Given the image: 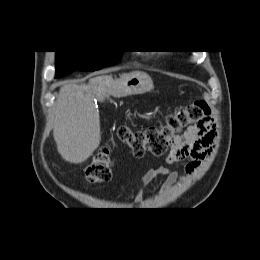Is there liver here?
<instances>
[{
    "label": "liver",
    "instance_id": "obj_1",
    "mask_svg": "<svg viewBox=\"0 0 260 260\" xmlns=\"http://www.w3.org/2000/svg\"><path fill=\"white\" fill-rule=\"evenodd\" d=\"M117 81L111 75H99L91 78L87 85L65 83L60 88L54 107L53 136L65 161L82 163L98 148L101 141L100 120L94 93L98 98L113 95Z\"/></svg>",
    "mask_w": 260,
    "mask_h": 260
}]
</instances>
